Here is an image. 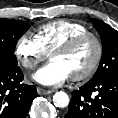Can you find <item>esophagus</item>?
<instances>
[{"label":"esophagus","instance_id":"obj_1","mask_svg":"<svg viewBox=\"0 0 118 118\" xmlns=\"http://www.w3.org/2000/svg\"><path fill=\"white\" fill-rule=\"evenodd\" d=\"M37 92L39 95H47V94L53 93V90H46V89L38 87Z\"/></svg>","mask_w":118,"mask_h":118}]
</instances>
